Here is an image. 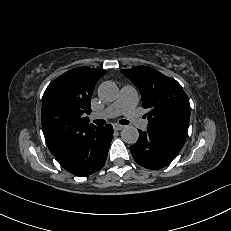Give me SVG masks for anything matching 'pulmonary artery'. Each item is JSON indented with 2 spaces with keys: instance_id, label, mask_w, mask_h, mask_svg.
I'll list each match as a JSON object with an SVG mask.
<instances>
[{
  "instance_id": "obj_1",
  "label": "pulmonary artery",
  "mask_w": 231,
  "mask_h": 231,
  "mask_svg": "<svg viewBox=\"0 0 231 231\" xmlns=\"http://www.w3.org/2000/svg\"><path fill=\"white\" fill-rule=\"evenodd\" d=\"M138 93L133 86H124L117 99L109 104L104 110L92 114V118H114L118 115L126 116L137 128L145 130L148 121L142 119L136 111Z\"/></svg>"
}]
</instances>
